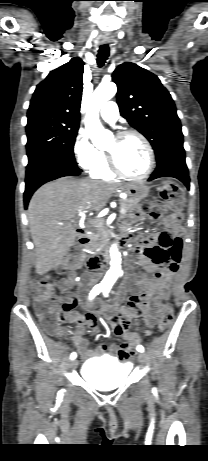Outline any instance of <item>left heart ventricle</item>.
<instances>
[{
	"instance_id": "left-heart-ventricle-1",
	"label": "left heart ventricle",
	"mask_w": 208,
	"mask_h": 461,
	"mask_svg": "<svg viewBox=\"0 0 208 461\" xmlns=\"http://www.w3.org/2000/svg\"><path fill=\"white\" fill-rule=\"evenodd\" d=\"M106 151L114 153L120 168L133 176L142 175L149 163L147 150L141 140L135 136L121 141L114 137L108 144Z\"/></svg>"
}]
</instances>
